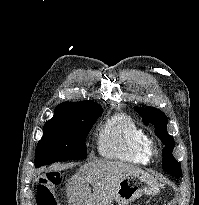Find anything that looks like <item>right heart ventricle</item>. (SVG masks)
Wrapping results in <instances>:
<instances>
[{"label": "right heart ventricle", "mask_w": 199, "mask_h": 205, "mask_svg": "<svg viewBox=\"0 0 199 205\" xmlns=\"http://www.w3.org/2000/svg\"><path fill=\"white\" fill-rule=\"evenodd\" d=\"M98 153L111 160L145 165L151 160L150 139L135 121L124 114L108 119L99 131Z\"/></svg>", "instance_id": "1"}]
</instances>
